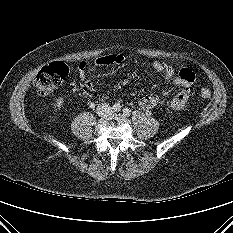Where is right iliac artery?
Segmentation results:
<instances>
[{
	"mask_svg": "<svg viewBox=\"0 0 233 233\" xmlns=\"http://www.w3.org/2000/svg\"><path fill=\"white\" fill-rule=\"evenodd\" d=\"M112 109L116 112H119L121 110V106L120 104H114Z\"/></svg>",
	"mask_w": 233,
	"mask_h": 233,
	"instance_id": "1",
	"label": "right iliac artery"
}]
</instances>
